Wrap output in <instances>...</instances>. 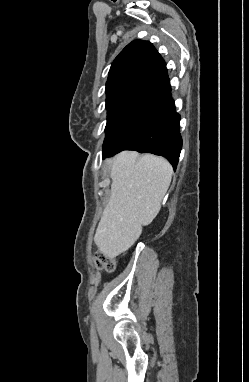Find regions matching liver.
Instances as JSON below:
<instances>
[{
  "mask_svg": "<svg viewBox=\"0 0 249 382\" xmlns=\"http://www.w3.org/2000/svg\"><path fill=\"white\" fill-rule=\"evenodd\" d=\"M172 173L166 159L152 154L123 151L112 160L110 200L94 237L106 258L127 251L157 216Z\"/></svg>",
  "mask_w": 249,
  "mask_h": 382,
  "instance_id": "liver-1",
  "label": "liver"
}]
</instances>
